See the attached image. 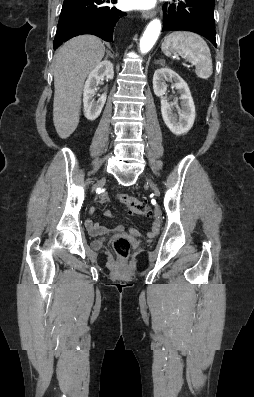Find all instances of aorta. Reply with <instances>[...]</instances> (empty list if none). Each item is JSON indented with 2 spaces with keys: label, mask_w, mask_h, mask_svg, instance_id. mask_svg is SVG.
<instances>
[{
  "label": "aorta",
  "mask_w": 254,
  "mask_h": 397,
  "mask_svg": "<svg viewBox=\"0 0 254 397\" xmlns=\"http://www.w3.org/2000/svg\"><path fill=\"white\" fill-rule=\"evenodd\" d=\"M161 31V22L158 19L152 20L147 26L141 40H140V51L147 53L155 44Z\"/></svg>",
  "instance_id": "762f6f07"
}]
</instances>
